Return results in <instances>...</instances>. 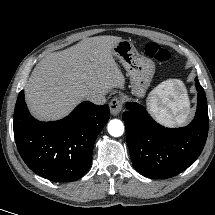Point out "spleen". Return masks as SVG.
Returning a JSON list of instances; mask_svg holds the SVG:
<instances>
[{"mask_svg": "<svg viewBox=\"0 0 215 215\" xmlns=\"http://www.w3.org/2000/svg\"><path fill=\"white\" fill-rule=\"evenodd\" d=\"M148 106L156 119L165 125L185 123L189 101L183 83L176 79L162 82L151 92Z\"/></svg>", "mask_w": 215, "mask_h": 215, "instance_id": "3e777b00", "label": "spleen"}]
</instances>
